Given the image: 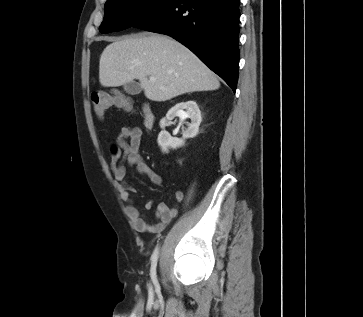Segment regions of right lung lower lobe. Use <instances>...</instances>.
Instances as JSON below:
<instances>
[{"label":"right lung lower lobe","instance_id":"right-lung-lower-lobe-1","mask_svg":"<svg viewBox=\"0 0 363 317\" xmlns=\"http://www.w3.org/2000/svg\"><path fill=\"white\" fill-rule=\"evenodd\" d=\"M240 0H177L136 28L166 34L196 54L235 92Z\"/></svg>","mask_w":363,"mask_h":317}]
</instances>
